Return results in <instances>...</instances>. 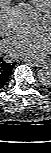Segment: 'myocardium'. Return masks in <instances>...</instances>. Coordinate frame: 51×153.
<instances>
[{
	"mask_svg": "<svg viewBox=\"0 0 51 153\" xmlns=\"http://www.w3.org/2000/svg\"><path fill=\"white\" fill-rule=\"evenodd\" d=\"M43 19H45L48 23V26L51 28V10L44 13Z\"/></svg>",
	"mask_w": 51,
	"mask_h": 153,
	"instance_id": "myocardium-1",
	"label": "myocardium"
}]
</instances>
